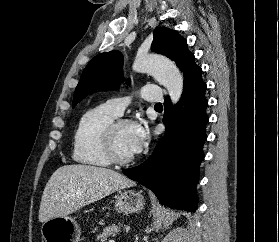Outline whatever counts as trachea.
I'll list each match as a JSON object with an SVG mask.
<instances>
[{"label": "trachea", "instance_id": "obj_1", "mask_svg": "<svg viewBox=\"0 0 279 242\" xmlns=\"http://www.w3.org/2000/svg\"><path fill=\"white\" fill-rule=\"evenodd\" d=\"M155 107H162V104L161 103H157V104H155Z\"/></svg>", "mask_w": 279, "mask_h": 242}]
</instances>
